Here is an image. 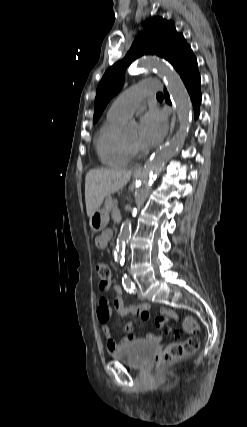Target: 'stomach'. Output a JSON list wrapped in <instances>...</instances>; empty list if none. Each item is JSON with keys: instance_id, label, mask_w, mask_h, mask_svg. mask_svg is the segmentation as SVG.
Masks as SVG:
<instances>
[{"instance_id": "stomach-1", "label": "stomach", "mask_w": 247, "mask_h": 427, "mask_svg": "<svg viewBox=\"0 0 247 427\" xmlns=\"http://www.w3.org/2000/svg\"><path fill=\"white\" fill-rule=\"evenodd\" d=\"M109 221L108 212L104 209H98L94 214L90 217V227L93 232L102 231Z\"/></svg>"}]
</instances>
